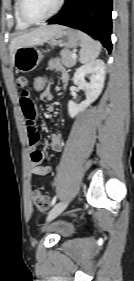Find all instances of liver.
Segmentation results:
<instances>
[{"mask_svg":"<svg viewBox=\"0 0 134 281\" xmlns=\"http://www.w3.org/2000/svg\"><path fill=\"white\" fill-rule=\"evenodd\" d=\"M62 27L61 25L42 26L13 38L10 43L11 63L13 64V56L18 48L41 45L59 32Z\"/></svg>","mask_w":134,"mask_h":281,"instance_id":"liver-1","label":"liver"}]
</instances>
